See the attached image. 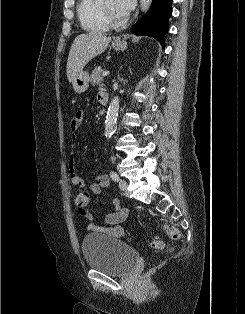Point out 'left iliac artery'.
<instances>
[{
	"label": "left iliac artery",
	"mask_w": 245,
	"mask_h": 314,
	"mask_svg": "<svg viewBox=\"0 0 245 314\" xmlns=\"http://www.w3.org/2000/svg\"><path fill=\"white\" fill-rule=\"evenodd\" d=\"M110 177L112 178L113 181L118 182L119 181V176L116 172L111 171L110 172Z\"/></svg>",
	"instance_id": "1"
}]
</instances>
